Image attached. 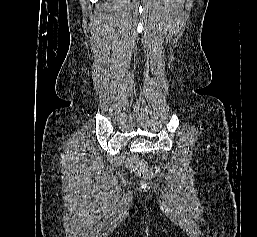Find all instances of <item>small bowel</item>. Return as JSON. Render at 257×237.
Segmentation results:
<instances>
[{"label":"small bowel","mask_w":257,"mask_h":237,"mask_svg":"<svg viewBox=\"0 0 257 237\" xmlns=\"http://www.w3.org/2000/svg\"><path fill=\"white\" fill-rule=\"evenodd\" d=\"M129 165L131 166V165H132V162H129Z\"/></svg>","instance_id":"c3829d8e"}]
</instances>
